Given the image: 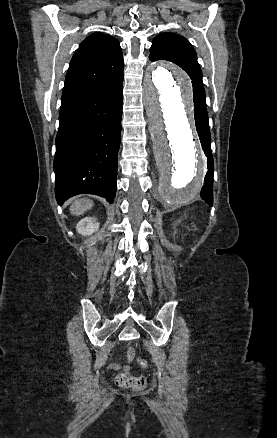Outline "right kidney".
Returning a JSON list of instances; mask_svg holds the SVG:
<instances>
[{"mask_svg": "<svg viewBox=\"0 0 277 438\" xmlns=\"http://www.w3.org/2000/svg\"><path fill=\"white\" fill-rule=\"evenodd\" d=\"M99 222L97 218H83L80 220L76 226V230L78 234H82V236H91L94 232L99 230Z\"/></svg>", "mask_w": 277, "mask_h": 438, "instance_id": "1", "label": "right kidney"}]
</instances>
